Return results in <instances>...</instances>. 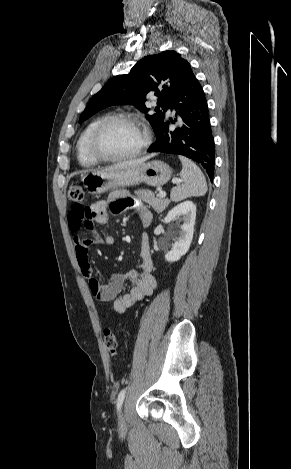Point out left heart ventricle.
Wrapping results in <instances>:
<instances>
[{"label": "left heart ventricle", "mask_w": 291, "mask_h": 469, "mask_svg": "<svg viewBox=\"0 0 291 469\" xmlns=\"http://www.w3.org/2000/svg\"><path fill=\"white\" fill-rule=\"evenodd\" d=\"M143 131L127 122L110 125L101 138L102 150L110 156H123L135 151L143 142Z\"/></svg>", "instance_id": "1"}]
</instances>
